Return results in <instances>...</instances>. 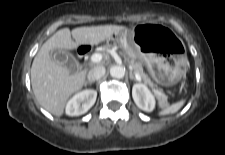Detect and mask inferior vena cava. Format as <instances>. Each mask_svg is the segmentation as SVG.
<instances>
[{
	"label": "inferior vena cava",
	"instance_id": "obj_1",
	"mask_svg": "<svg viewBox=\"0 0 225 155\" xmlns=\"http://www.w3.org/2000/svg\"><path fill=\"white\" fill-rule=\"evenodd\" d=\"M105 72L106 70L104 66L97 65L89 70L87 78L89 81L93 82L102 78L105 75Z\"/></svg>",
	"mask_w": 225,
	"mask_h": 155
}]
</instances>
